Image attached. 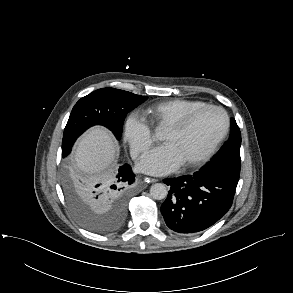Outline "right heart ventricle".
<instances>
[{
    "label": "right heart ventricle",
    "instance_id": "1",
    "mask_svg": "<svg viewBox=\"0 0 293 293\" xmlns=\"http://www.w3.org/2000/svg\"><path fill=\"white\" fill-rule=\"evenodd\" d=\"M198 100L169 99L148 106L144 114L156 128L166 129L169 125L181 119L187 113L206 105Z\"/></svg>",
    "mask_w": 293,
    "mask_h": 293
}]
</instances>
